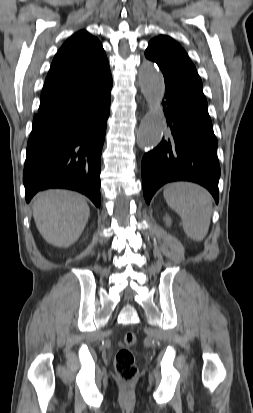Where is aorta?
<instances>
[{
    "mask_svg": "<svg viewBox=\"0 0 253 413\" xmlns=\"http://www.w3.org/2000/svg\"><path fill=\"white\" fill-rule=\"evenodd\" d=\"M139 85L148 104V112L137 132V144L143 149H152L162 140L166 127L161 101L165 93L164 78L157 67L145 61L139 70Z\"/></svg>",
    "mask_w": 253,
    "mask_h": 413,
    "instance_id": "obj_1",
    "label": "aorta"
}]
</instances>
